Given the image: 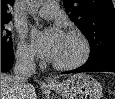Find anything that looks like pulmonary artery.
I'll list each match as a JSON object with an SVG mask.
<instances>
[{
  "mask_svg": "<svg viewBox=\"0 0 115 99\" xmlns=\"http://www.w3.org/2000/svg\"><path fill=\"white\" fill-rule=\"evenodd\" d=\"M59 7L54 1L45 2L42 7L38 10V15L45 19H52L58 16Z\"/></svg>",
  "mask_w": 115,
  "mask_h": 99,
  "instance_id": "pulmonary-artery-1",
  "label": "pulmonary artery"
}]
</instances>
